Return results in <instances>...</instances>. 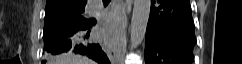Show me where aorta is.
Returning <instances> with one entry per match:
<instances>
[{"label":"aorta","instance_id":"762f6f07","mask_svg":"<svg viewBox=\"0 0 242 64\" xmlns=\"http://www.w3.org/2000/svg\"><path fill=\"white\" fill-rule=\"evenodd\" d=\"M150 8L151 0H134L130 34L133 47L140 45L145 37Z\"/></svg>","mask_w":242,"mask_h":64}]
</instances>
